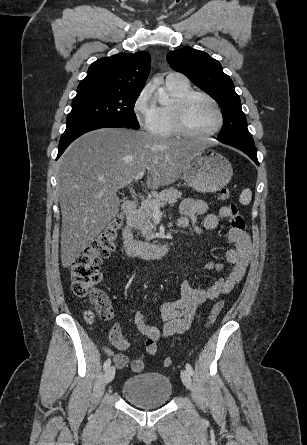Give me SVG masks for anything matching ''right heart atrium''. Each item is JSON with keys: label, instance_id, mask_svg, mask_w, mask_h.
I'll return each mask as SVG.
<instances>
[{"label": "right heart atrium", "instance_id": "d8ad5b80", "mask_svg": "<svg viewBox=\"0 0 307 445\" xmlns=\"http://www.w3.org/2000/svg\"><path fill=\"white\" fill-rule=\"evenodd\" d=\"M133 115L140 127L154 132L158 126L159 115L155 104V95L150 87L141 90L132 106Z\"/></svg>", "mask_w": 307, "mask_h": 445}]
</instances>
